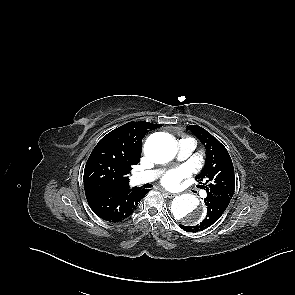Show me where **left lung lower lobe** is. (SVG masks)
<instances>
[{"label":"left lung lower lobe","mask_w":295,"mask_h":295,"mask_svg":"<svg viewBox=\"0 0 295 295\" xmlns=\"http://www.w3.org/2000/svg\"><path fill=\"white\" fill-rule=\"evenodd\" d=\"M204 201L207 206V213L204 220L195 226H185L180 224L181 229L188 232H197L207 229L221 217L230 203V201L216 198H205Z\"/></svg>","instance_id":"left-lung-lower-lobe-1"}]
</instances>
